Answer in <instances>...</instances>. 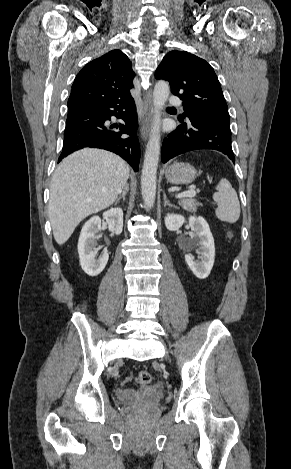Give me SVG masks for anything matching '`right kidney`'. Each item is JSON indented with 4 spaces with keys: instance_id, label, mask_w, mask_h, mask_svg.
I'll return each mask as SVG.
<instances>
[{
    "instance_id": "ca27d5eb",
    "label": "right kidney",
    "mask_w": 291,
    "mask_h": 469,
    "mask_svg": "<svg viewBox=\"0 0 291 469\" xmlns=\"http://www.w3.org/2000/svg\"><path fill=\"white\" fill-rule=\"evenodd\" d=\"M108 229L119 235L123 229V211L121 208H111L103 213ZM101 230V218L93 216L83 226L79 241L78 254L83 271L89 276L99 275L105 268L109 254L104 250L100 256L96 255L98 232Z\"/></svg>"
}]
</instances>
